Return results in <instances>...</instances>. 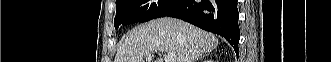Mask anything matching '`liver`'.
<instances>
[{
    "instance_id": "liver-1",
    "label": "liver",
    "mask_w": 331,
    "mask_h": 62,
    "mask_svg": "<svg viewBox=\"0 0 331 62\" xmlns=\"http://www.w3.org/2000/svg\"><path fill=\"white\" fill-rule=\"evenodd\" d=\"M218 44L215 35L191 24L175 18H159L133 28L114 62H144L146 54L157 51L174 55L175 62H194Z\"/></svg>"
}]
</instances>
